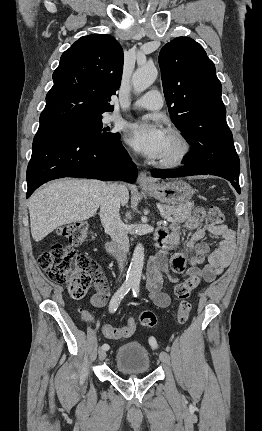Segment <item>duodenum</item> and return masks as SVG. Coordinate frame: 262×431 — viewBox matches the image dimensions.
<instances>
[{
  "label": "duodenum",
  "instance_id": "obj_1",
  "mask_svg": "<svg viewBox=\"0 0 262 431\" xmlns=\"http://www.w3.org/2000/svg\"><path fill=\"white\" fill-rule=\"evenodd\" d=\"M106 251L108 252V254H110L112 256H116L117 255V246L114 243L109 242L106 245Z\"/></svg>",
  "mask_w": 262,
  "mask_h": 431
}]
</instances>
